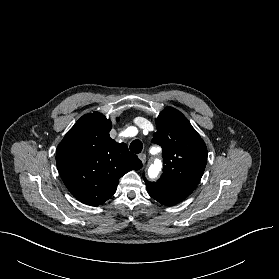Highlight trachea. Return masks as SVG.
<instances>
[{
  "label": "trachea",
  "mask_w": 279,
  "mask_h": 279,
  "mask_svg": "<svg viewBox=\"0 0 279 279\" xmlns=\"http://www.w3.org/2000/svg\"><path fill=\"white\" fill-rule=\"evenodd\" d=\"M143 149V144L140 140H134L130 144V151L133 153H140Z\"/></svg>",
  "instance_id": "1"
}]
</instances>
